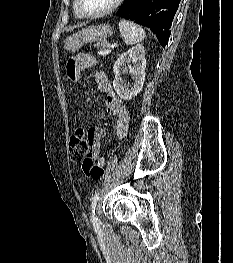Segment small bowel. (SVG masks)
Wrapping results in <instances>:
<instances>
[{
    "instance_id": "obj_1",
    "label": "small bowel",
    "mask_w": 233,
    "mask_h": 263,
    "mask_svg": "<svg viewBox=\"0 0 233 263\" xmlns=\"http://www.w3.org/2000/svg\"><path fill=\"white\" fill-rule=\"evenodd\" d=\"M97 59L89 54H79L67 64V75L72 81H78L81 73L89 68L96 67ZM98 89L106 94L107 113L115 118L116 135L122 139L127 135L129 128V113L122 99L113 90L111 81L105 72L97 70L94 74ZM105 133L100 128L91 130V153L92 162L104 166L105 157H99L100 141Z\"/></svg>"
}]
</instances>
